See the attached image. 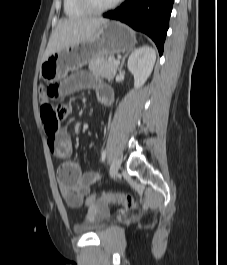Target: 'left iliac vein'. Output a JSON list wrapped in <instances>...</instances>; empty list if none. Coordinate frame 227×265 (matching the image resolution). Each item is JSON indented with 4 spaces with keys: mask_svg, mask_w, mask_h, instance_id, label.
<instances>
[{
    "mask_svg": "<svg viewBox=\"0 0 227 265\" xmlns=\"http://www.w3.org/2000/svg\"><path fill=\"white\" fill-rule=\"evenodd\" d=\"M120 166H121V161H120V159H118L117 157H115V158L113 159L112 163H111L110 171H109L110 176H111L112 178H114V177L117 175V173H118V171H119V169H120Z\"/></svg>",
    "mask_w": 227,
    "mask_h": 265,
    "instance_id": "left-iliac-vein-1",
    "label": "left iliac vein"
}]
</instances>
